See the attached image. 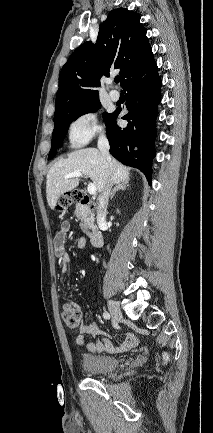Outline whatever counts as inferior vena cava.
Wrapping results in <instances>:
<instances>
[{"mask_svg":"<svg viewBox=\"0 0 213 433\" xmlns=\"http://www.w3.org/2000/svg\"><path fill=\"white\" fill-rule=\"evenodd\" d=\"M98 148L103 155L109 162L111 160L110 153H109V143L104 134H101L98 139ZM112 183L108 182L105 189L101 192V194L98 197V205H97V221L98 223H104L107 215V206L109 201V195L111 191Z\"/></svg>","mask_w":213,"mask_h":433,"instance_id":"obj_1","label":"inferior vena cava"}]
</instances>
